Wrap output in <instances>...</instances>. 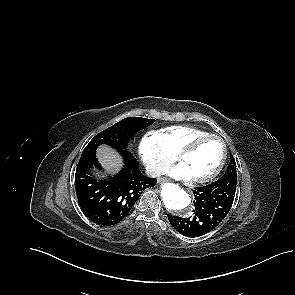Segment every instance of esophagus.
Masks as SVG:
<instances>
[{"instance_id": "esophagus-1", "label": "esophagus", "mask_w": 295, "mask_h": 295, "mask_svg": "<svg viewBox=\"0 0 295 295\" xmlns=\"http://www.w3.org/2000/svg\"><path fill=\"white\" fill-rule=\"evenodd\" d=\"M166 181H167V180H166L165 178H159V179H158V182H159V183H164V182H166Z\"/></svg>"}]
</instances>
